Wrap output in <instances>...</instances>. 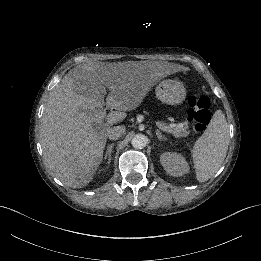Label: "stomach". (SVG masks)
Returning <instances> with one entry per match:
<instances>
[{
	"mask_svg": "<svg viewBox=\"0 0 261 261\" xmlns=\"http://www.w3.org/2000/svg\"><path fill=\"white\" fill-rule=\"evenodd\" d=\"M156 96L162 103L178 106L185 102L187 98V88L185 84L179 80H165L157 86Z\"/></svg>",
	"mask_w": 261,
	"mask_h": 261,
	"instance_id": "1",
	"label": "stomach"
}]
</instances>
